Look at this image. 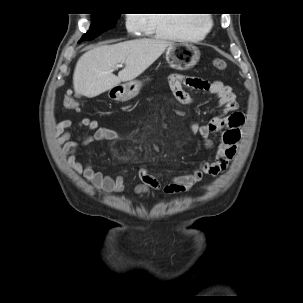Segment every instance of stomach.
I'll return each mask as SVG.
<instances>
[{
	"instance_id": "1",
	"label": "stomach",
	"mask_w": 303,
	"mask_h": 303,
	"mask_svg": "<svg viewBox=\"0 0 303 303\" xmlns=\"http://www.w3.org/2000/svg\"><path fill=\"white\" fill-rule=\"evenodd\" d=\"M200 59L199 49L186 42H173L166 50V61L177 70H188ZM142 82L130 80L111 89L112 97L118 101H127L139 94Z\"/></svg>"
}]
</instances>
